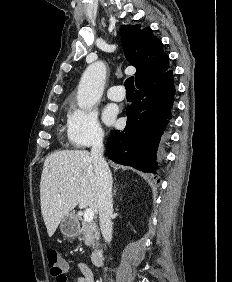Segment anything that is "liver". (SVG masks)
Masks as SVG:
<instances>
[{"instance_id": "6515ba94", "label": "liver", "mask_w": 232, "mask_h": 282, "mask_svg": "<svg viewBox=\"0 0 232 282\" xmlns=\"http://www.w3.org/2000/svg\"><path fill=\"white\" fill-rule=\"evenodd\" d=\"M96 173L85 150H62L44 161L40 182L41 212L49 237L78 204L99 212Z\"/></svg>"}]
</instances>
